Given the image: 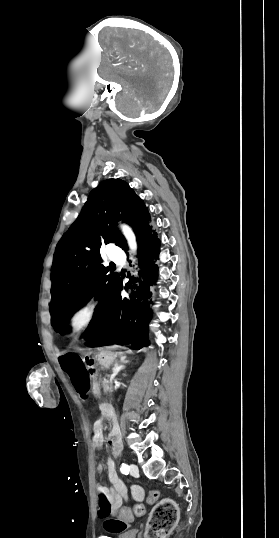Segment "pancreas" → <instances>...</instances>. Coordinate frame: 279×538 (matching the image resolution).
Instances as JSON below:
<instances>
[{"instance_id":"pancreas-1","label":"pancreas","mask_w":279,"mask_h":538,"mask_svg":"<svg viewBox=\"0 0 279 538\" xmlns=\"http://www.w3.org/2000/svg\"><path fill=\"white\" fill-rule=\"evenodd\" d=\"M103 384H104V387L102 388V391L104 393H107V392H112V384H113V381L111 379H105L103 381Z\"/></svg>"}]
</instances>
